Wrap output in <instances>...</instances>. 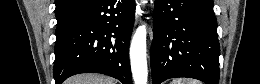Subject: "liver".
Masks as SVG:
<instances>
[{
  "mask_svg": "<svg viewBox=\"0 0 260 84\" xmlns=\"http://www.w3.org/2000/svg\"><path fill=\"white\" fill-rule=\"evenodd\" d=\"M66 84H117V81L112 77L85 73L71 77L66 81Z\"/></svg>",
  "mask_w": 260,
  "mask_h": 84,
  "instance_id": "liver-1",
  "label": "liver"
}]
</instances>
